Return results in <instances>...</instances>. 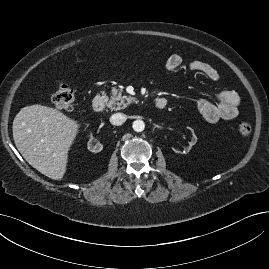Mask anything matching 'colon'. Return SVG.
I'll return each instance as SVG.
<instances>
[{"instance_id":"5ec220e1","label":"colon","mask_w":269,"mask_h":269,"mask_svg":"<svg viewBox=\"0 0 269 269\" xmlns=\"http://www.w3.org/2000/svg\"><path fill=\"white\" fill-rule=\"evenodd\" d=\"M76 96L74 89L66 82H59L52 94V102L61 111H71L74 108ZM241 136H248L252 126L248 121H240L236 126Z\"/></svg>"}]
</instances>
